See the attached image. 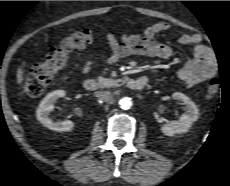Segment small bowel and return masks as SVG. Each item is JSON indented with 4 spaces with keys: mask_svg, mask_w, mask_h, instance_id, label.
Masks as SVG:
<instances>
[{
    "mask_svg": "<svg viewBox=\"0 0 230 186\" xmlns=\"http://www.w3.org/2000/svg\"><path fill=\"white\" fill-rule=\"evenodd\" d=\"M167 22H156L148 25L142 35L124 33L120 37L113 34L107 35L111 54L108 63L113 64L127 56H149L160 59L171 58L172 49L156 40L159 33L170 30ZM178 43L191 46V56L183 68L177 72V77L189 88L213 78L218 70L215 54L206 46L200 44V38L195 34H181ZM92 70V60L87 58L82 65L83 74L87 75Z\"/></svg>",
    "mask_w": 230,
    "mask_h": 186,
    "instance_id": "small-bowel-1",
    "label": "small bowel"
}]
</instances>
